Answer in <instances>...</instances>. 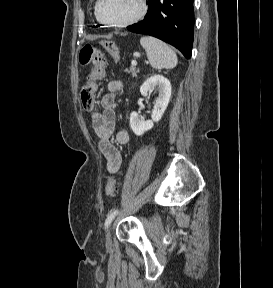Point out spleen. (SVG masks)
<instances>
[{
	"instance_id": "spleen-1",
	"label": "spleen",
	"mask_w": 273,
	"mask_h": 288,
	"mask_svg": "<svg viewBox=\"0 0 273 288\" xmlns=\"http://www.w3.org/2000/svg\"><path fill=\"white\" fill-rule=\"evenodd\" d=\"M151 66L155 69H173L178 62L176 53L163 41L145 36L140 39Z\"/></svg>"
}]
</instances>
